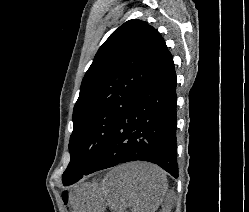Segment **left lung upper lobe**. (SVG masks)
I'll return each instance as SVG.
<instances>
[{"label": "left lung upper lobe", "mask_w": 249, "mask_h": 212, "mask_svg": "<svg viewBox=\"0 0 249 212\" xmlns=\"http://www.w3.org/2000/svg\"><path fill=\"white\" fill-rule=\"evenodd\" d=\"M168 54L160 33L141 20L125 22L99 48L74 106L65 186L96 163L118 120Z\"/></svg>", "instance_id": "obj_1"}]
</instances>
